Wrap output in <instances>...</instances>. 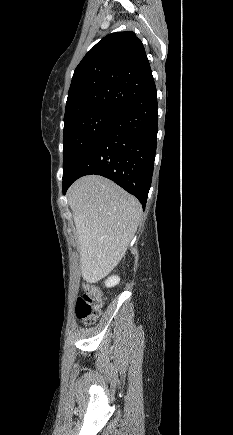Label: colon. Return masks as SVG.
Listing matches in <instances>:
<instances>
[{
  "instance_id": "colon-1",
  "label": "colon",
  "mask_w": 233,
  "mask_h": 435,
  "mask_svg": "<svg viewBox=\"0 0 233 435\" xmlns=\"http://www.w3.org/2000/svg\"><path fill=\"white\" fill-rule=\"evenodd\" d=\"M104 299L100 290L93 284H87L81 296L76 300V316L79 320L91 324L101 315Z\"/></svg>"
}]
</instances>
